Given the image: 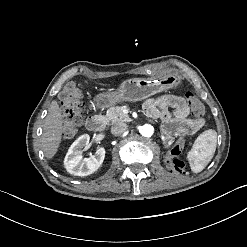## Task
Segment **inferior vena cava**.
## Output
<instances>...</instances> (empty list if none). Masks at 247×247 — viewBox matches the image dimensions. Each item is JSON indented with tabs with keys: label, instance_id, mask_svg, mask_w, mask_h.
<instances>
[{
	"label": "inferior vena cava",
	"instance_id": "1",
	"mask_svg": "<svg viewBox=\"0 0 247 247\" xmlns=\"http://www.w3.org/2000/svg\"><path fill=\"white\" fill-rule=\"evenodd\" d=\"M127 131V124L123 122L114 123L111 127V133L113 135H121Z\"/></svg>",
	"mask_w": 247,
	"mask_h": 247
}]
</instances>
